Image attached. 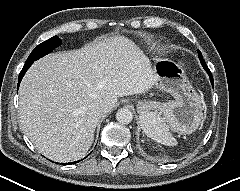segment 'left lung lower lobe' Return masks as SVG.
<instances>
[{"instance_id":"left-lung-lower-lobe-1","label":"left lung lower lobe","mask_w":240,"mask_h":191,"mask_svg":"<svg viewBox=\"0 0 240 191\" xmlns=\"http://www.w3.org/2000/svg\"><path fill=\"white\" fill-rule=\"evenodd\" d=\"M199 59L201 60V64H202L203 68L207 71L208 75L210 76V81L213 85V77H212V74H211L210 70L208 69L203 57H199Z\"/></svg>"}]
</instances>
